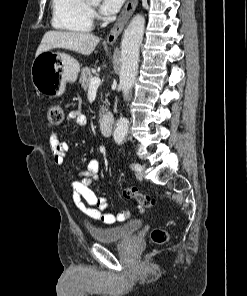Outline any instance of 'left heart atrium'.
I'll use <instances>...</instances> for the list:
<instances>
[{"mask_svg":"<svg viewBox=\"0 0 247 296\" xmlns=\"http://www.w3.org/2000/svg\"><path fill=\"white\" fill-rule=\"evenodd\" d=\"M125 0H102L100 9L106 15H112L119 11Z\"/></svg>","mask_w":247,"mask_h":296,"instance_id":"1","label":"left heart atrium"}]
</instances>
